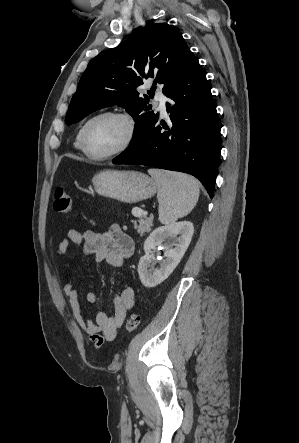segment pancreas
<instances>
[{"label":"pancreas","instance_id":"cf45deb5","mask_svg":"<svg viewBox=\"0 0 299 443\" xmlns=\"http://www.w3.org/2000/svg\"><path fill=\"white\" fill-rule=\"evenodd\" d=\"M138 223L136 221H133L135 229H137V232L143 236L146 232H150L151 227L153 226V218L146 217L142 212L138 214Z\"/></svg>","mask_w":299,"mask_h":443}]
</instances>
